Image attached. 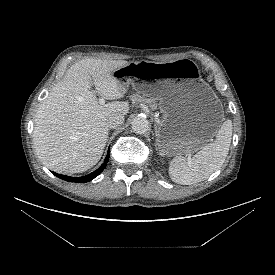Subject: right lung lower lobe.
<instances>
[{"label": "right lung lower lobe", "instance_id": "right-lung-lower-lobe-1", "mask_svg": "<svg viewBox=\"0 0 275 275\" xmlns=\"http://www.w3.org/2000/svg\"><path fill=\"white\" fill-rule=\"evenodd\" d=\"M109 161V150L108 153L106 155V158L104 160V163L94 172L90 173L89 175L83 176V177H70V176H65V175H61V174H57V173H53L55 176L59 177L60 179L69 181V182H89L92 179H94L96 176H98L106 167L107 163Z\"/></svg>", "mask_w": 275, "mask_h": 275}]
</instances>
